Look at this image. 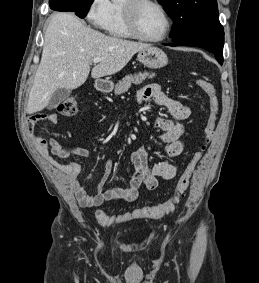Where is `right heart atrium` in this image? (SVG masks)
Segmentation results:
<instances>
[{"label": "right heart atrium", "instance_id": "obj_1", "mask_svg": "<svg viewBox=\"0 0 259 283\" xmlns=\"http://www.w3.org/2000/svg\"><path fill=\"white\" fill-rule=\"evenodd\" d=\"M110 7V0H91L86 14L87 20L95 28H103L109 15Z\"/></svg>", "mask_w": 259, "mask_h": 283}]
</instances>
